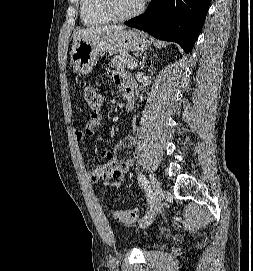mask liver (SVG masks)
Here are the masks:
<instances>
[{
	"mask_svg": "<svg viewBox=\"0 0 253 271\" xmlns=\"http://www.w3.org/2000/svg\"><path fill=\"white\" fill-rule=\"evenodd\" d=\"M124 26L122 25H113V26H100V27H89L86 29L78 30L73 35V47L77 41L80 39H85L89 36H92L94 34H102V33H110V32H117L124 30ZM72 47V48H73Z\"/></svg>",
	"mask_w": 253,
	"mask_h": 271,
	"instance_id": "1",
	"label": "liver"
}]
</instances>
